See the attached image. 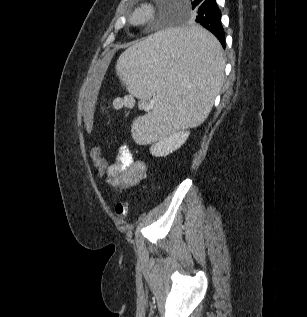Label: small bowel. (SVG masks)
I'll return each mask as SVG.
<instances>
[{"mask_svg":"<svg viewBox=\"0 0 307 317\" xmlns=\"http://www.w3.org/2000/svg\"><path fill=\"white\" fill-rule=\"evenodd\" d=\"M149 166L143 161L134 160L127 144L120 145L116 160L106 171L107 182L118 189L137 186L148 174Z\"/></svg>","mask_w":307,"mask_h":317,"instance_id":"obj_1","label":"small bowel"}]
</instances>
